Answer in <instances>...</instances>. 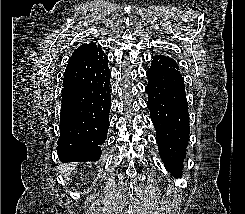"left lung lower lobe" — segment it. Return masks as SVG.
Here are the masks:
<instances>
[{
	"label": "left lung lower lobe",
	"mask_w": 245,
	"mask_h": 214,
	"mask_svg": "<svg viewBox=\"0 0 245 214\" xmlns=\"http://www.w3.org/2000/svg\"><path fill=\"white\" fill-rule=\"evenodd\" d=\"M146 75L147 106L159 154L166 169L180 178L190 133L184 79L177 69L154 63Z\"/></svg>",
	"instance_id": "obj_1"
}]
</instances>
